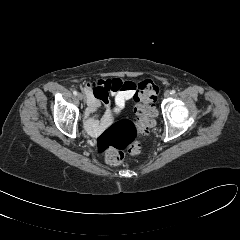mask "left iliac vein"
Returning <instances> with one entry per match:
<instances>
[{"label":"left iliac vein","mask_w":240,"mask_h":240,"mask_svg":"<svg viewBox=\"0 0 240 240\" xmlns=\"http://www.w3.org/2000/svg\"><path fill=\"white\" fill-rule=\"evenodd\" d=\"M170 91L169 90H166L165 92H164V97L165 98H167V97H169L170 96Z\"/></svg>","instance_id":"left-iliac-vein-1"}]
</instances>
